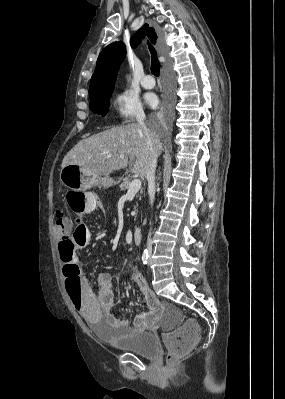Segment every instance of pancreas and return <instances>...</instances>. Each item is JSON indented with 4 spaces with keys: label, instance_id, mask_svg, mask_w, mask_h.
<instances>
[{
    "label": "pancreas",
    "instance_id": "cf45deb5",
    "mask_svg": "<svg viewBox=\"0 0 285 399\" xmlns=\"http://www.w3.org/2000/svg\"><path fill=\"white\" fill-rule=\"evenodd\" d=\"M121 190H128L131 180L128 177L120 178L119 181ZM142 193V191H140Z\"/></svg>",
    "mask_w": 285,
    "mask_h": 399
}]
</instances>
